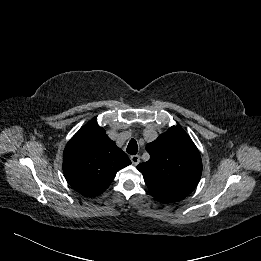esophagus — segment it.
I'll list each match as a JSON object with an SVG mask.
<instances>
[{"label":"esophagus","mask_w":261,"mask_h":261,"mask_svg":"<svg viewBox=\"0 0 261 261\" xmlns=\"http://www.w3.org/2000/svg\"><path fill=\"white\" fill-rule=\"evenodd\" d=\"M130 159H131V162H132L133 165H137L140 162V156L139 155H132L130 157Z\"/></svg>","instance_id":"obj_1"}]
</instances>
